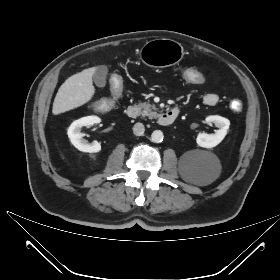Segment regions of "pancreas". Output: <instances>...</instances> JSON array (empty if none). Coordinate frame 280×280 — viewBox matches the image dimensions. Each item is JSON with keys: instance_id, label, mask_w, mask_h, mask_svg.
I'll return each mask as SVG.
<instances>
[{"instance_id": "pancreas-1", "label": "pancreas", "mask_w": 280, "mask_h": 280, "mask_svg": "<svg viewBox=\"0 0 280 280\" xmlns=\"http://www.w3.org/2000/svg\"><path fill=\"white\" fill-rule=\"evenodd\" d=\"M139 109L141 110L142 116H147L149 119H155L159 117V114L156 112L157 108L154 104H149L147 102L139 103Z\"/></svg>"}]
</instances>
